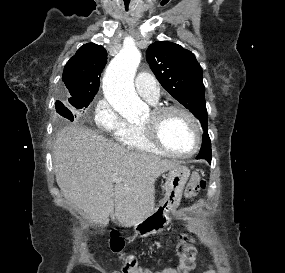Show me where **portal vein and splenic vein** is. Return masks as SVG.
Wrapping results in <instances>:
<instances>
[{"label": "portal vein and splenic vein", "instance_id": "1", "mask_svg": "<svg viewBox=\"0 0 285 273\" xmlns=\"http://www.w3.org/2000/svg\"><path fill=\"white\" fill-rule=\"evenodd\" d=\"M111 180H112L113 182H119V179L117 178L116 175H113V177L111 178Z\"/></svg>", "mask_w": 285, "mask_h": 273}]
</instances>
